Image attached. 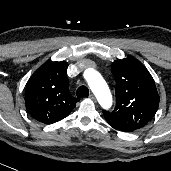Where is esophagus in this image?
I'll return each mask as SVG.
<instances>
[{
	"label": "esophagus",
	"instance_id": "34e87169",
	"mask_svg": "<svg viewBox=\"0 0 171 171\" xmlns=\"http://www.w3.org/2000/svg\"><path fill=\"white\" fill-rule=\"evenodd\" d=\"M89 98H90L91 100H93V101L96 100V98H95V96H94L93 94H90V95H89Z\"/></svg>",
	"mask_w": 171,
	"mask_h": 171
}]
</instances>
